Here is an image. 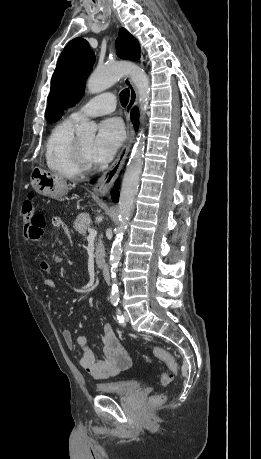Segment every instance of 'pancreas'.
I'll return each instance as SVG.
<instances>
[{"mask_svg":"<svg viewBox=\"0 0 261 459\" xmlns=\"http://www.w3.org/2000/svg\"><path fill=\"white\" fill-rule=\"evenodd\" d=\"M91 227V219L87 213L79 214L74 222L73 228L83 236L86 235V231ZM104 247L99 239L96 244V263L99 264L103 258Z\"/></svg>","mask_w":261,"mask_h":459,"instance_id":"cf45deb5","label":"pancreas"}]
</instances>
